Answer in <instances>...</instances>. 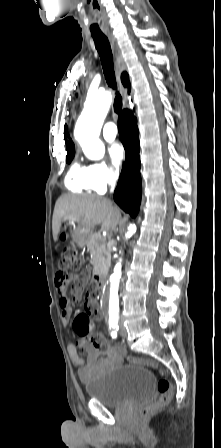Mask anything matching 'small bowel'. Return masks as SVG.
Listing matches in <instances>:
<instances>
[{
	"instance_id": "obj_1",
	"label": "small bowel",
	"mask_w": 221,
	"mask_h": 448,
	"mask_svg": "<svg viewBox=\"0 0 221 448\" xmlns=\"http://www.w3.org/2000/svg\"><path fill=\"white\" fill-rule=\"evenodd\" d=\"M87 282L85 273L77 276L72 283L71 293L75 300H80ZM59 306L62 311V321L66 325L71 321L72 307L67 293L63 289H58ZM100 310L96 303L92 304L86 300L85 312L79 314L73 321L74 331L80 336L76 344L68 345V352L73 364L78 367V375L81 381L91 380L94 374H99L105 369L122 363L125 351L120 346H112L106 338L96 331L94 336L89 335L87 326L92 318H99ZM78 347L82 348L86 354V360L78 352Z\"/></svg>"
}]
</instances>
